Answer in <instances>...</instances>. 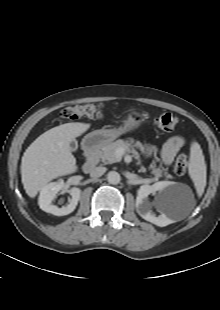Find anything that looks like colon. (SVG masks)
<instances>
[{
  "label": "colon",
  "mask_w": 220,
  "mask_h": 310,
  "mask_svg": "<svg viewBox=\"0 0 220 310\" xmlns=\"http://www.w3.org/2000/svg\"><path fill=\"white\" fill-rule=\"evenodd\" d=\"M102 115L100 103L87 102L79 105L68 106L61 110L60 116L67 120H78L81 118H95ZM155 125L163 131H172L176 128L178 119L172 113H162L155 118ZM189 166V158L185 154L178 156L175 162V172L183 175Z\"/></svg>",
  "instance_id": "1"
}]
</instances>
